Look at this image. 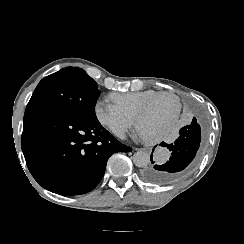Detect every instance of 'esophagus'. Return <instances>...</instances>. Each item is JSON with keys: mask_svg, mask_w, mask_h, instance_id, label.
<instances>
[{"mask_svg": "<svg viewBox=\"0 0 244 244\" xmlns=\"http://www.w3.org/2000/svg\"><path fill=\"white\" fill-rule=\"evenodd\" d=\"M135 150L144 151L146 153L151 152L152 147L135 148Z\"/></svg>", "mask_w": 244, "mask_h": 244, "instance_id": "1", "label": "esophagus"}]
</instances>
